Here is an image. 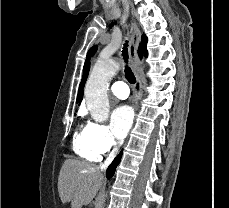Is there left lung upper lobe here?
Segmentation results:
<instances>
[{"instance_id": "1", "label": "left lung upper lobe", "mask_w": 229, "mask_h": 208, "mask_svg": "<svg viewBox=\"0 0 229 208\" xmlns=\"http://www.w3.org/2000/svg\"><path fill=\"white\" fill-rule=\"evenodd\" d=\"M146 44H147V37L145 35H142V48H143V52L145 53V56H147ZM96 50H97V46H93L88 51V54H87V57H86V61H85V66H86V63L88 62V60L90 59V57L94 55Z\"/></svg>"}]
</instances>
